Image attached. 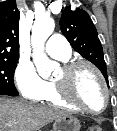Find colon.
I'll return each mask as SVG.
<instances>
[{"instance_id": "1", "label": "colon", "mask_w": 117, "mask_h": 131, "mask_svg": "<svg viewBox=\"0 0 117 131\" xmlns=\"http://www.w3.org/2000/svg\"><path fill=\"white\" fill-rule=\"evenodd\" d=\"M87 131H104V130L98 125H91L87 128Z\"/></svg>"}]
</instances>
